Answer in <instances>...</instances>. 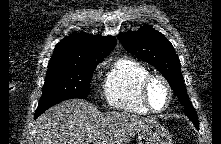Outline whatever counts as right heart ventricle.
<instances>
[{
    "label": "right heart ventricle",
    "instance_id": "obj_1",
    "mask_svg": "<svg viewBox=\"0 0 221 144\" xmlns=\"http://www.w3.org/2000/svg\"><path fill=\"white\" fill-rule=\"evenodd\" d=\"M149 70L139 61L128 57L117 59L110 67L103 86L104 97L114 109L146 114L149 110L140 97V83Z\"/></svg>",
    "mask_w": 221,
    "mask_h": 144
}]
</instances>
